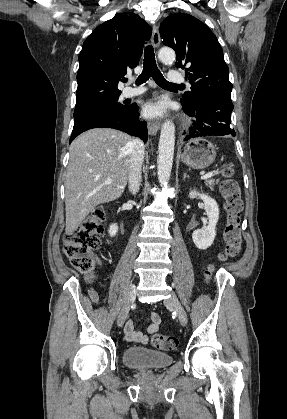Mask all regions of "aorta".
Instances as JSON below:
<instances>
[{
  "mask_svg": "<svg viewBox=\"0 0 287 419\" xmlns=\"http://www.w3.org/2000/svg\"><path fill=\"white\" fill-rule=\"evenodd\" d=\"M158 58L163 63H172L175 60V52L170 48H161L158 52ZM174 146L175 126L172 121L166 120L161 127L157 158V175L161 186H167L170 179Z\"/></svg>",
  "mask_w": 287,
  "mask_h": 419,
  "instance_id": "aorta-1",
  "label": "aorta"
}]
</instances>
